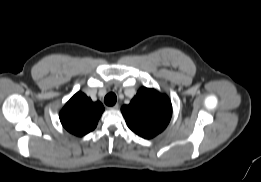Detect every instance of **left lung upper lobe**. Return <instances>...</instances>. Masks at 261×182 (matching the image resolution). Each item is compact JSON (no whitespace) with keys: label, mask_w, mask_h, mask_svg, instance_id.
Segmentation results:
<instances>
[{"label":"left lung upper lobe","mask_w":261,"mask_h":182,"mask_svg":"<svg viewBox=\"0 0 261 182\" xmlns=\"http://www.w3.org/2000/svg\"><path fill=\"white\" fill-rule=\"evenodd\" d=\"M121 112L128 127L137 135L150 139L161 133L168 125L172 115V105L166 95L155 89L142 87L129 105Z\"/></svg>","instance_id":"1"}]
</instances>
